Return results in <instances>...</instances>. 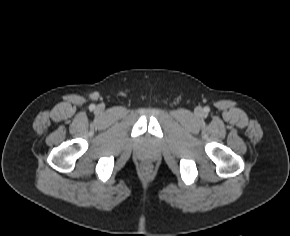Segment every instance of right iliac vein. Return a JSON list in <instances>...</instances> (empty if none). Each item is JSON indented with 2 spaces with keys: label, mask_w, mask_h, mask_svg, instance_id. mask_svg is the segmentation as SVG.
Returning a JSON list of instances; mask_svg holds the SVG:
<instances>
[{
  "label": "right iliac vein",
  "mask_w": 290,
  "mask_h": 236,
  "mask_svg": "<svg viewBox=\"0 0 290 236\" xmlns=\"http://www.w3.org/2000/svg\"><path fill=\"white\" fill-rule=\"evenodd\" d=\"M97 110H98V111H102V107H101V106H98V107H97Z\"/></svg>",
  "instance_id": "right-iliac-vein-1"
}]
</instances>
